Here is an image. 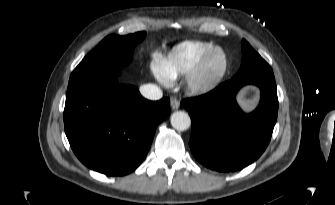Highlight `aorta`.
<instances>
[{
    "instance_id": "1",
    "label": "aorta",
    "mask_w": 335,
    "mask_h": 205,
    "mask_svg": "<svg viewBox=\"0 0 335 205\" xmlns=\"http://www.w3.org/2000/svg\"><path fill=\"white\" fill-rule=\"evenodd\" d=\"M170 122L173 128L178 131H185L191 125L190 116L183 111H176L170 117Z\"/></svg>"
}]
</instances>
